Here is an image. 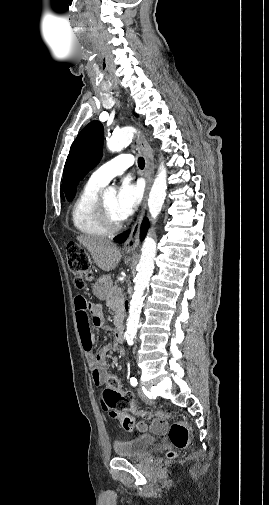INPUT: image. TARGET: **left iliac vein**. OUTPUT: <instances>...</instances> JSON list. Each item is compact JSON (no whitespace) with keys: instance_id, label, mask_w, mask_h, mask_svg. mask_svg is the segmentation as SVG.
<instances>
[{"instance_id":"4c4485c4","label":"left iliac vein","mask_w":269,"mask_h":505,"mask_svg":"<svg viewBox=\"0 0 269 505\" xmlns=\"http://www.w3.org/2000/svg\"><path fill=\"white\" fill-rule=\"evenodd\" d=\"M138 394H139L140 398H142L144 401H147V402L149 401V399H148V398L146 397V395L144 394L143 389H142V387H141V386H139V387H138ZM147 405H148V407H149V408H151V409H152V408H154V407H155V405H156V404H155V402H154V401H152V400H151V401H149V402H148V404H147Z\"/></svg>"}]
</instances>
